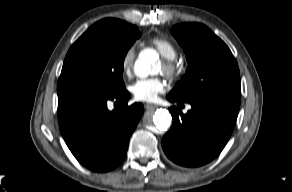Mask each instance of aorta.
<instances>
[{
	"mask_svg": "<svg viewBox=\"0 0 292 192\" xmlns=\"http://www.w3.org/2000/svg\"><path fill=\"white\" fill-rule=\"evenodd\" d=\"M158 61V54L155 50H143L134 64V72L140 78H146L149 75L156 73V63ZM171 115L166 109H158L152 119V123L157 129L164 131L171 124Z\"/></svg>",
	"mask_w": 292,
	"mask_h": 192,
	"instance_id": "1",
	"label": "aorta"
}]
</instances>
